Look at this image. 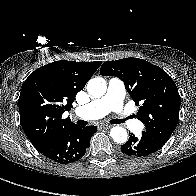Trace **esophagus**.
<instances>
[{
	"label": "esophagus",
	"instance_id": "esophagus-1",
	"mask_svg": "<svg viewBox=\"0 0 196 196\" xmlns=\"http://www.w3.org/2000/svg\"><path fill=\"white\" fill-rule=\"evenodd\" d=\"M101 126H102V128H104V129H109V128L112 127V125H110V124H102Z\"/></svg>",
	"mask_w": 196,
	"mask_h": 196
}]
</instances>
